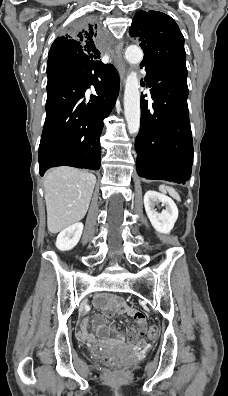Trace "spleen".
Here are the masks:
<instances>
[{
    "label": "spleen",
    "mask_w": 228,
    "mask_h": 396,
    "mask_svg": "<svg viewBox=\"0 0 228 396\" xmlns=\"http://www.w3.org/2000/svg\"><path fill=\"white\" fill-rule=\"evenodd\" d=\"M159 190L162 193L168 192L170 196H172L174 199L180 201V196H179V194L176 192V190L174 188L169 187V186H165V185H160L159 186Z\"/></svg>",
    "instance_id": "3e777b00"
}]
</instances>
